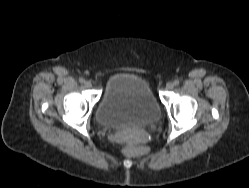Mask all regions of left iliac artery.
Masks as SVG:
<instances>
[{"mask_svg":"<svg viewBox=\"0 0 249 188\" xmlns=\"http://www.w3.org/2000/svg\"><path fill=\"white\" fill-rule=\"evenodd\" d=\"M174 85H175V86H178V85H179V80H175V81H174Z\"/></svg>","mask_w":249,"mask_h":188,"instance_id":"1","label":"left iliac artery"}]
</instances>
